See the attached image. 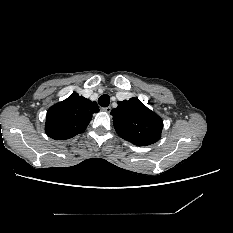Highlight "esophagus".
<instances>
[{"label":"esophagus","instance_id":"obj_1","mask_svg":"<svg viewBox=\"0 0 233 233\" xmlns=\"http://www.w3.org/2000/svg\"><path fill=\"white\" fill-rule=\"evenodd\" d=\"M102 111H105L106 113H110L111 112V107L110 106L104 107V108H102Z\"/></svg>","mask_w":233,"mask_h":233}]
</instances>
